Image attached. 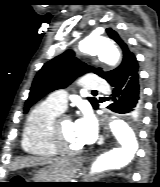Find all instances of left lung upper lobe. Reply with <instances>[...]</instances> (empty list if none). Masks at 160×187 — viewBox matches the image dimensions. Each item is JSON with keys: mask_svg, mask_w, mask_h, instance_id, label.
Returning a JSON list of instances; mask_svg holds the SVG:
<instances>
[{"mask_svg": "<svg viewBox=\"0 0 160 187\" xmlns=\"http://www.w3.org/2000/svg\"><path fill=\"white\" fill-rule=\"evenodd\" d=\"M106 32L122 50L123 60L119 67L110 72H104L101 68L94 69L93 67L80 62L74 57V52L68 50L47 62L39 70L30 89V95L25 103L24 112L26 113L31 105H33L47 93L67 87L75 78L84 73L93 71L95 74L107 81L117 76L123 70L128 59L134 54L129 51L126 43L116 31L108 28L106 29ZM89 101L95 109L98 107V100L96 98L90 97Z\"/></svg>", "mask_w": 160, "mask_h": 187, "instance_id": "obj_1", "label": "left lung upper lobe"}]
</instances>
